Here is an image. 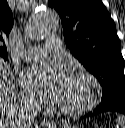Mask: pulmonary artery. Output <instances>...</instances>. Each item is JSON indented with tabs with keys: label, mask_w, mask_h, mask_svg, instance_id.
Listing matches in <instances>:
<instances>
[{
	"label": "pulmonary artery",
	"mask_w": 125,
	"mask_h": 128,
	"mask_svg": "<svg viewBox=\"0 0 125 128\" xmlns=\"http://www.w3.org/2000/svg\"><path fill=\"white\" fill-rule=\"evenodd\" d=\"M62 49L59 37L51 36L47 38L45 47H29L22 53V59L25 61H39L45 58L47 54H58Z\"/></svg>",
	"instance_id": "1"
}]
</instances>
